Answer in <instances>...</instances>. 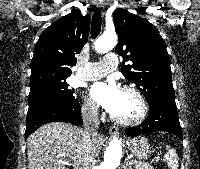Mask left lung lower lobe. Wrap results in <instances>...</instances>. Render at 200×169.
I'll return each instance as SVG.
<instances>
[{
    "label": "left lung lower lobe",
    "instance_id": "0a47b994",
    "mask_svg": "<svg viewBox=\"0 0 200 169\" xmlns=\"http://www.w3.org/2000/svg\"><path fill=\"white\" fill-rule=\"evenodd\" d=\"M150 113L139 126L126 130L129 136H138L156 131L170 132L183 141L175 99L158 98L149 103Z\"/></svg>",
    "mask_w": 200,
    "mask_h": 169
}]
</instances>
